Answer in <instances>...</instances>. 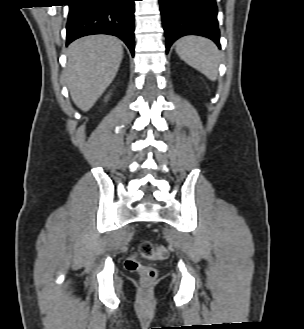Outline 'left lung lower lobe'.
<instances>
[{
    "instance_id": "obj_1",
    "label": "left lung lower lobe",
    "mask_w": 304,
    "mask_h": 329,
    "mask_svg": "<svg viewBox=\"0 0 304 329\" xmlns=\"http://www.w3.org/2000/svg\"><path fill=\"white\" fill-rule=\"evenodd\" d=\"M166 35V52L178 38L200 35L220 48L215 0H159Z\"/></svg>"
}]
</instances>
